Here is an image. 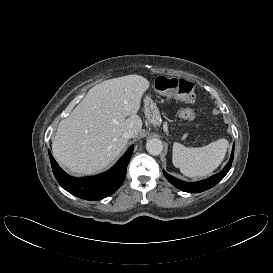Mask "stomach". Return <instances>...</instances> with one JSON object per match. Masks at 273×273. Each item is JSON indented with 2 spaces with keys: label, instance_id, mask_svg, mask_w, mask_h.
I'll return each mask as SVG.
<instances>
[{
  "label": "stomach",
  "instance_id": "obj_1",
  "mask_svg": "<svg viewBox=\"0 0 273 273\" xmlns=\"http://www.w3.org/2000/svg\"><path fill=\"white\" fill-rule=\"evenodd\" d=\"M174 87V81L164 75L157 76L154 79L155 90L162 95L171 94ZM144 112L148 121L154 125H160L161 116L156 103L152 100L150 96L144 98Z\"/></svg>",
  "mask_w": 273,
  "mask_h": 273
}]
</instances>
